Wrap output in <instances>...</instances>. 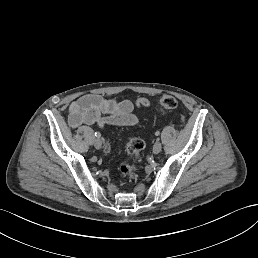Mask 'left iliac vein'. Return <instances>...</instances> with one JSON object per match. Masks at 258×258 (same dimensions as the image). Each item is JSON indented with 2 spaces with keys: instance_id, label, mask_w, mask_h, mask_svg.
<instances>
[{
  "instance_id": "1",
  "label": "left iliac vein",
  "mask_w": 258,
  "mask_h": 258,
  "mask_svg": "<svg viewBox=\"0 0 258 258\" xmlns=\"http://www.w3.org/2000/svg\"><path fill=\"white\" fill-rule=\"evenodd\" d=\"M162 150V145L160 141H155L152 149L153 155H158L159 152Z\"/></svg>"
}]
</instances>
